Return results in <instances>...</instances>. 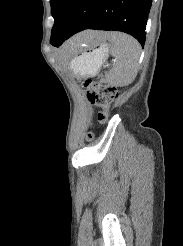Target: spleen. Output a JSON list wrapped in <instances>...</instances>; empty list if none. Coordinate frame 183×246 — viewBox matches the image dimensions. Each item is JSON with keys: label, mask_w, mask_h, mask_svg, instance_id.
I'll return each instance as SVG.
<instances>
[{"label": "spleen", "mask_w": 183, "mask_h": 246, "mask_svg": "<svg viewBox=\"0 0 183 246\" xmlns=\"http://www.w3.org/2000/svg\"><path fill=\"white\" fill-rule=\"evenodd\" d=\"M105 38L110 42V53L117 58L113 69L106 75L107 82L119 86L129 85L139 70L141 55L139 42L121 32H108Z\"/></svg>", "instance_id": "spleen-1"}]
</instances>
